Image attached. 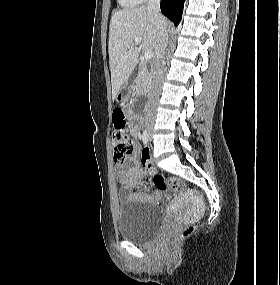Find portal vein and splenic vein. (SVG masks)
Returning a JSON list of instances; mask_svg holds the SVG:
<instances>
[{"label": "portal vein and splenic vein", "instance_id": "obj_1", "mask_svg": "<svg viewBox=\"0 0 280 285\" xmlns=\"http://www.w3.org/2000/svg\"><path fill=\"white\" fill-rule=\"evenodd\" d=\"M142 41H143V40H142L141 37H136V38L134 39V43H136V44H139V43H141ZM129 48H130V47H129ZM153 56H154V53H153L152 51H147V52L144 53V58H145V60H150V59L153 58Z\"/></svg>", "mask_w": 280, "mask_h": 285}]
</instances>
